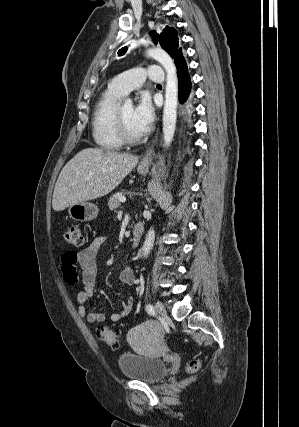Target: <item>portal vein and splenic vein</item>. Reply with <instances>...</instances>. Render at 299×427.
<instances>
[{"instance_id":"18ae733b","label":"portal vein and splenic vein","mask_w":299,"mask_h":427,"mask_svg":"<svg viewBox=\"0 0 299 427\" xmlns=\"http://www.w3.org/2000/svg\"><path fill=\"white\" fill-rule=\"evenodd\" d=\"M119 200H120V202H125L126 198L124 196H122V197L119 198Z\"/></svg>"}]
</instances>
